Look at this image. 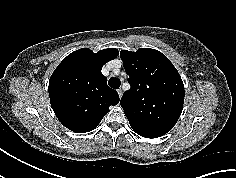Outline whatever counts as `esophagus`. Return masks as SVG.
Returning <instances> with one entry per match:
<instances>
[{
	"instance_id": "esophagus-1",
	"label": "esophagus",
	"mask_w": 236,
	"mask_h": 178,
	"mask_svg": "<svg viewBox=\"0 0 236 178\" xmlns=\"http://www.w3.org/2000/svg\"><path fill=\"white\" fill-rule=\"evenodd\" d=\"M117 93H118V95H119V98H121V97H122V94H123L122 90H121V89H118V90H117Z\"/></svg>"
}]
</instances>
